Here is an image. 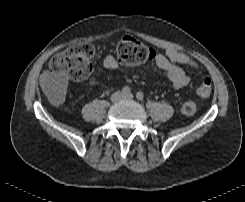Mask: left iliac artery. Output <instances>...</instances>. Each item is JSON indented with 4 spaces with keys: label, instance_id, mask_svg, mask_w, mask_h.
Instances as JSON below:
<instances>
[{
    "label": "left iliac artery",
    "instance_id": "left-iliac-artery-1",
    "mask_svg": "<svg viewBox=\"0 0 245 202\" xmlns=\"http://www.w3.org/2000/svg\"><path fill=\"white\" fill-rule=\"evenodd\" d=\"M136 98H137L138 100L142 101L143 98H144V94H143L142 92H137Z\"/></svg>",
    "mask_w": 245,
    "mask_h": 202
}]
</instances>
